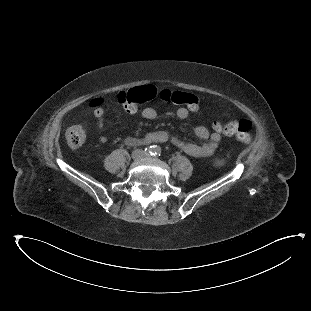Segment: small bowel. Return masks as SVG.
I'll return each mask as SVG.
<instances>
[{
	"label": "small bowel",
	"mask_w": 311,
	"mask_h": 311,
	"mask_svg": "<svg viewBox=\"0 0 311 311\" xmlns=\"http://www.w3.org/2000/svg\"><path fill=\"white\" fill-rule=\"evenodd\" d=\"M94 114L97 119L98 128L102 129L105 119L103 109H97ZM175 115L179 119H186L189 116V112L186 108L181 107L176 110ZM141 116L146 120H154L157 117V111L152 107H146L141 111ZM89 129L92 131L91 125H89ZM195 134L199 139L205 142L203 144L187 142L165 131L148 133L141 139L147 140L149 143L169 141L184 151L186 154L193 157H208L212 155L220 144V133H210V131L205 126L198 125L195 128ZM99 140L102 143L107 141L105 136H100Z\"/></svg>",
	"instance_id": "obj_1"
}]
</instances>
